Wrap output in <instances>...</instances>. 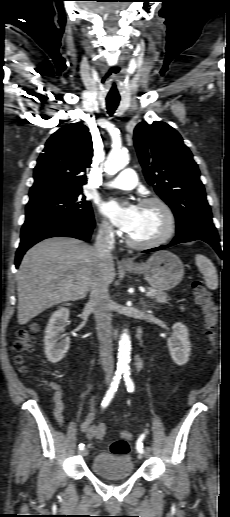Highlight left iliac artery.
Here are the masks:
<instances>
[{
    "mask_svg": "<svg viewBox=\"0 0 230 517\" xmlns=\"http://www.w3.org/2000/svg\"><path fill=\"white\" fill-rule=\"evenodd\" d=\"M124 381H125V385H126V387H127L128 392H133V391H134V383H133V381H132V379H131L130 371H128V370H125V371H124ZM144 437H145V435H144V434H142V435L138 438V440H137V442H136V449H137V451H138L139 453H143V451H144V450H143V443H142V441H143Z\"/></svg>",
    "mask_w": 230,
    "mask_h": 517,
    "instance_id": "1",
    "label": "left iliac artery"
}]
</instances>
